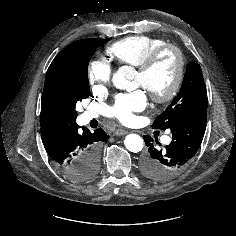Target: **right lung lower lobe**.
I'll return each mask as SVG.
<instances>
[{
	"label": "right lung lower lobe",
	"instance_id": "1",
	"mask_svg": "<svg viewBox=\"0 0 236 236\" xmlns=\"http://www.w3.org/2000/svg\"><path fill=\"white\" fill-rule=\"evenodd\" d=\"M41 137L51 160L73 181H83V173L100 145L109 139L101 128L90 132L77 125L76 119L41 126Z\"/></svg>",
	"mask_w": 236,
	"mask_h": 236
}]
</instances>
